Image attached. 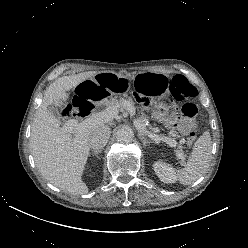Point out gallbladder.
<instances>
[{"label":"gallbladder","instance_id":"obj_1","mask_svg":"<svg viewBox=\"0 0 248 248\" xmlns=\"http://www.w3.org/2000/svg\"><path fill=\"white\" fill-rule=\"evenodd\" d=\"M48 110L55 116V118L58 120V121H61L63 120L61 115L59 114L58 110L52 106V105H49L48 106Z\"/></svg>","mask_w":248,"mask_h":248}]
</instances>
